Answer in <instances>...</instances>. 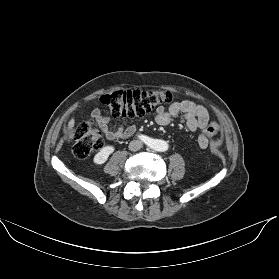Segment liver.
<instances>
[{
  "label": "liver",
  "instance_id": "1",
  "mask_svg": "<svg viewBox=\"0 0 279 279\" xmlns=\"http://www.w3.org/2000/svg\"><path fill=\"white\" fill-rule=\"evenodd\" d=\"M74 124H75V120H74V118H72L68 123V130L69 131H71L73 129Z\"/></svg>",
  "mask_w": 279,
  "mask_h": 279
}]
</instances>
